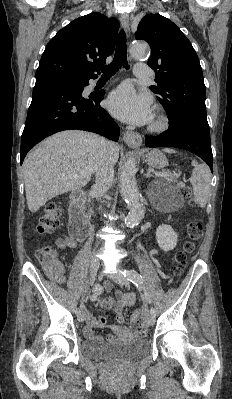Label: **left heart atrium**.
<instances>
[{"instance_id":"39dd6f15","label":"left heart atrium","mask_w":232,"mask_h":399,"mask_svg":"<svg viewBox=\"0 0 232 399\" xmlns=\"http://www.w3.org/2000/svg\"><path fill=\"white\" fill-rule=\"evenodd\" d=\"M106 106L113 117L135 126L150 124L155 115L149 96L137 94L128 86L119 87L112 92Z\"/></svg>"}]
</instances>
